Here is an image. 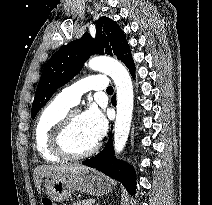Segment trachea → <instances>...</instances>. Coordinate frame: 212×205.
Here are the masks:
<instances>
[{
  "instance_id": "1",
  "label": "trachea",
  "mask_w": 212,
  "mask_h": 205,
  "mask_svg": "<svg viewBox=\"0 0 212 205\" xmlns=\"http://www.w3.org/2000/svg\"><path fill=\"white\" fill-rule=\"evenodd\" d=\"M106 91L107 93H113V87L109 86Z\"/></svg>"
}]
</instances>
